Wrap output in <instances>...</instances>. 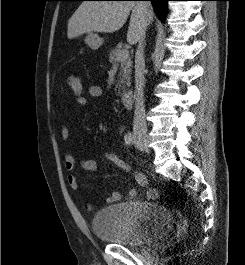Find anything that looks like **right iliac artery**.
<instances>
[{
  "mask_svg": "<svg viewBox=\"0 0 245 265\" xmlns=\"http://www.w3.org/2000/svg\"><path fill=\"white\" fill-rule=\"evenodd\" d=\"M124 141H125V144L126 145H131L132 142H133V135L131 133H127L125 136H124Z\"/></svg>",
  "mask_w": 245,
  "mask_h": 265,
  "instance_id": "1",
  "label": "right iliac artery"
}]
</instances>
